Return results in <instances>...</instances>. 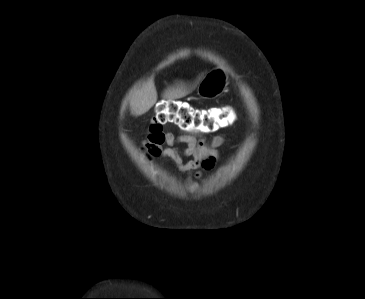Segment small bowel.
Masks as SVG:
<instances>
[{
	"instance_id": "c3829d8e",
	"label": "small bowel",
	"mask_w": 365,
	"mask_h": 299,
	"mask_svg": "<svg viewBox=\"0 0 365 299\" xmlns=\"http://www.w3.org/2000/svg\"><path fill=\"white\" fill-rule=\"evenodd\" d=\"M225 142L224 135H217L210 141L203 136L182 133L174 135L167 133L165 136L166 148L160 153L162 157L169 158L181 172L190 173L193 177H200V169L209 170L217 158V148ZM185 145V147H179ZM183 157H191L184 162Z\"/></svg>"
}]
</instances>
